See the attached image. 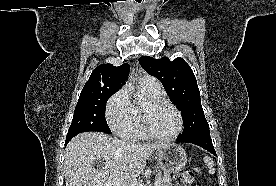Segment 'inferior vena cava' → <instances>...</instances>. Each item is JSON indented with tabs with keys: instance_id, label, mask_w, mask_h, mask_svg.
I'll return each mask as SVG.
<instances>
[{
	"instance_id": "1",
	"label": "inferior vena cava",
	"mask_w": 276,
	"mask_h": 186,
	"mask_svg": "<svg viewBox=\"0 0 276 186\" xmlns=\"http://www.w3.org/2000/svg\"><path fill=\"white\" fill-rule=\"evenodd\" d=\"M135 183H136V182L133 183V186H136Z\"/></svg>"
}]
</instances>
